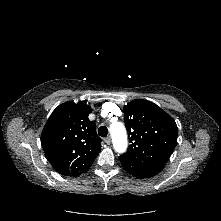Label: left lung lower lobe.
<instances>
[{
    "mask_svg": "<svg viewBox=\"0 0 221 221\" xmlns=\"http://www.w3.org/2000/svg\"><path fill=\"white\" fill-rule=\"evenodd\" d=\"M121 164L128 173L140 179L153 177L163 169L162 166H157V165L137 167L122 162Z\"/></svg>",
    "mask_w": 221,
    "mask_h": 221,
    "instance_id": "obj_1",
    "label": "left lung lower lobe"
}]
</instances>
